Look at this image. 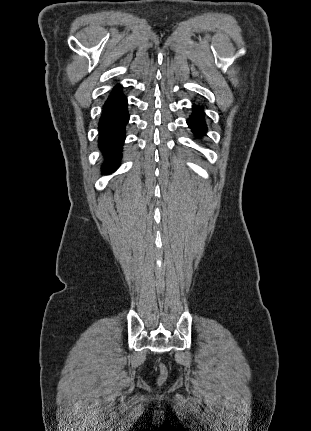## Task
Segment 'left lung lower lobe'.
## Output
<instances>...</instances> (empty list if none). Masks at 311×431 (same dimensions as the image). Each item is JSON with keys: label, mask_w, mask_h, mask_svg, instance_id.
Returning <instances> with one entry per match:
<instances>
[{"label": "left lung lower lobe", "mask_w": 311, "mask_h": 431, "mask_svg": "<svg viewBox=\"0 0 311 431\" xmlns=\"http://www.w3.org/2000/svg\"><path fill=\"white\" fill-rule=\"evenodd\" d=\"M202 116H203L202 110L198 109L194 111V113L187 121L189 127L197 136L203 135L207 129Z\"/></svg>", "instance_id": "1"}]
</instances>
